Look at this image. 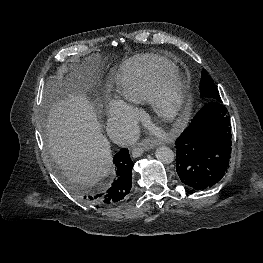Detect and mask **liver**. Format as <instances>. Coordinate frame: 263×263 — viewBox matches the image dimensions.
I'll return each mask as SVG.
<instances>
[{"instance_id": "6515ba94", "label": "liver", "mask_w": 263, "mask_h": 263, "mask_svg": "<svg viewBox=\"0 0 263 263\" xmlns=\"http://www.w3.org/2000/svg\"><path fill=\"white\" fill-rule=\"evenodd\" d=\"M50 92L54 93L46 121L50 154L71 182L94 185L112 166L110 142L94 108L84 92L66 82L47 83L46 95Z\"/></svg>"}]
</instances>
